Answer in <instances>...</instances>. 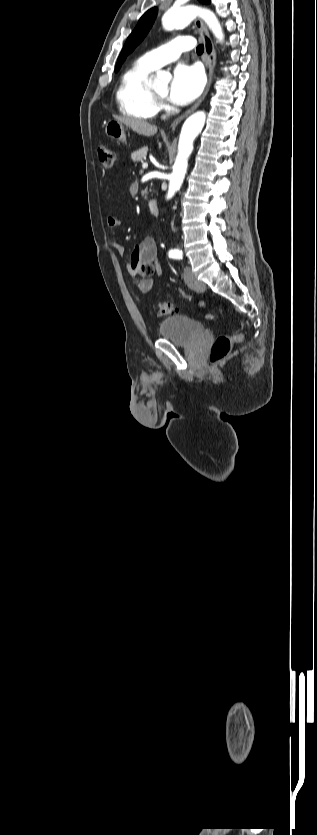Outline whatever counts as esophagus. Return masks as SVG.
<instances>
[{
  "label": "esophagus",
  "mask_w": 317,
  "mask_h": 835,
  "mask_svg": "<svg viewBox=\"0 0 317 835\" xmlns=\"http://www.w3.org/2000/svg\"><path fill=\"white\" fill-rule=\"evenodd\" d=\"M194 25H195V27L198 29V31H199V32H200V34H201L202 39L204 40V39H205V36H208V33H207V31H206V29H205V27H204V25H203L202 21H201L200 19H196V20H195V22H194ZM205 64H206V67H207V69H208V83H207V86H206V88H205V90H204L203 94H202V95L200 96V98H199V99L195 102V104H194V105H193V106H192L189 110H187L184 114H182L181 116H179L177 119H175V120L173 121V123H172V125H171L172 130H175V128L177 127V125H178V124H179L182 120H184V119H185V118H186L189 114H191L194 110H196V109L198 108V106L202 103V101L205 99V97H206V95H207V93H208V91H209V89H210V86H211V83H212V78H213L214 69H215V66H216V53H215V50H214L213 48H211V49H206V59H205Z\"/></svg>",
  "instance_id": "obj_1"
}]
</instances>
